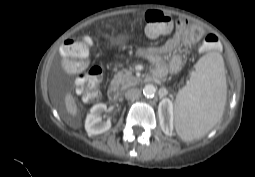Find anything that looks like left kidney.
<instances>
[{
	"instance_id": "1",
	"label": "left kidney",
	"mask_w": 255,
	"mask_h": 177,
	"mask_svg": "<svg viewBox=\"0 0 255 177\" xmlns=\"http://www.w3.org/2000/svg\"><path fill=\"white\" fill-rule=\"evenodd\" d=\"M160 124L166 135H172L174 111L173 104L169 99H163L158 108Z\"/></svg>"
}]
</instances>
